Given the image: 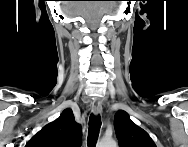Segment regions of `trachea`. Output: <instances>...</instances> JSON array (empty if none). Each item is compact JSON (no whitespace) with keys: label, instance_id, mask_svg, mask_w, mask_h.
<instances>
[{"label":"trachea","instance_id":"obj_1","mask_svg":"<svg viewBox=\"0 0 188 147\" xmlns=\"http://www.w3.org/2000/svg\"><path fill=\"white\" fill-rule=\"evenodd\" d=\"M100 127V116L91 114L89 117L88 147H95Z\"/></svg>","mask_w":188,"mask_h":147}]
</instances>
